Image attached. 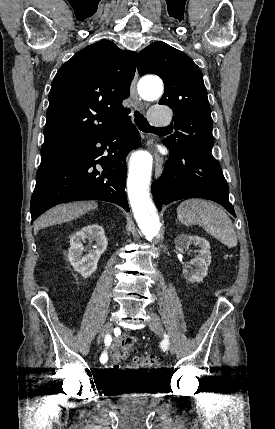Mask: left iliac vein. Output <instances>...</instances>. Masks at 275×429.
Listing matches in <instances>:
<instances>
[{
	"label": "left iliac vein",
	"mask_w": 275,
	"mask_h": 429,
	"mask_svg": "<svg viewBox=\"0 0 275 429\" xmlns=\"http://www.w3.org/2000/svg\"><path fill=\"white\" fill-rule=\"evenodd\" d=\"M149 325L152 328V330L155 331L156 333H158V334L163 333V326H162L161 320L157 314L150 313ZM170 352L171 353L175 352V348H174L173 344H170Z\"/></svg>",
	"instance_id": "4c4485c4"
}]
</instances>
